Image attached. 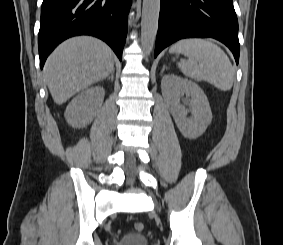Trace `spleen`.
I'll return each mask as SVG.
<instances>
[{"instance_id":"1","label":"spleen","mask_w":283,"mask_h":245,"mask_svg":"<svg viewBox=\"0 0 283 245\" xmlns=\"http://www.w3.org/2000/svg\"><path fill=\"white\" fill-rule=\"evenodd\" d=\"M169 52L182 53L188 60H181L178 68L196 81H207L222 91L232 88L234 69L226 53L207 39H182L171 46Z\"/></svg>"}]
</instances>
